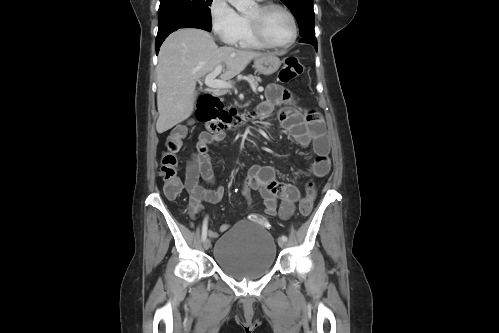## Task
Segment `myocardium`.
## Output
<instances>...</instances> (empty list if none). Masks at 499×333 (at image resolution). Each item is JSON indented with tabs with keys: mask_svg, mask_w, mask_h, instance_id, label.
<instances>
[{
	"mask_svg": "<svg viewBox=\"0 0 499 333\" xmlns=\"http://www.w3.org/2000/svg\"><path fill=\"white\" fill-rule=\"evenodd\" d=\"M257 9H258V13H259L258 17L247 16L246 19L249 23V26H250V29H251L253 36L260 43H262L264 46H266L268 48H273V49H286L295 43V41L298 37V26H297L296 18L289 8H287L283 4H280L277 2L266 1L264 3L258 4ZM271 9L282 10L290 19V22L292 25V35H291V38L285 43H282V44L272 43L267 39L266 35L263 32L260 17L262 14L266 13L267 11H269Z\"/></svg>",
	"mask_w": 499,
	"mask_h": 333,
	"instance_id": "myocardium-1",
	"label": "myocardium"
}]
</instances>
